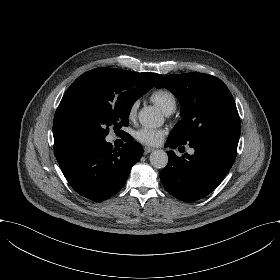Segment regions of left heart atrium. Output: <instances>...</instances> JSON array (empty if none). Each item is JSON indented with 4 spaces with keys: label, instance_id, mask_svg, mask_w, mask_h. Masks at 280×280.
I'll list each match as a JSON object with an SVG mask.
<instances>
[{
    "label": "left heart atrium",
    "instance_id": "39dd6f15",
    "mask_svg": "<svg viewBox=\"0 0 280 280\" xmlns=\"http://www.w3.org/2000/svg\"><path fill=\"white\" fill-rule=\"evenodd\" d=\"M164 132L159 129L140 128L134 132L135 139L145 145H156L163 138Z\"/></svg>",
    "mask_w": 280,
    "mask_h": 280
}]
</instances>
